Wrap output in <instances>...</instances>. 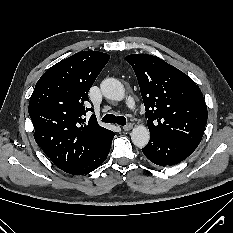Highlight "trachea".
Masks as SVG:
<instances>
[{
    "label": "trachea",
    "mask_w": 233,
    "mask_h": 233,
    "mask_svg": "<svg viewBox=\"0 0 233 233\" xmlns=\"http://www.w3.org/2000/svg\"><path fill=\"white\" fill-rule=\"evenodd\" d=\"M102 122L105 123H113V124H118V125H126L127 120L123 116H115L113 114H107L102 118Z\"/></svg>",
    "instance_id": "trachea-1"
}]
</instances>
